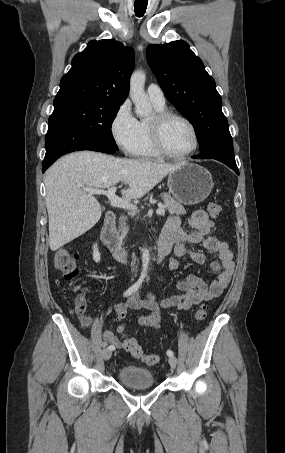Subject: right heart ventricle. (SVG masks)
I'll return each instance as SVG.
<instances>
[{
    "instance_id": "1",
    "label": "right heart ventricle",
    "mask_w": 285,
    "mask_h": 453,
    "mask_svg": "<svg viewBox=\"0 0 285 453\" xmlns=\"http://www.w3.org/2000/svg\"><path fill=\"white\" fill-rule=\"evenodd\" d=\"M153 106L157 112L165 110V106H157L155 104ZM133 155L141 158H156L160 156L152 145L148 121L146 120L139 121L138 137Z\"/></svg>"
}]
</instances>
